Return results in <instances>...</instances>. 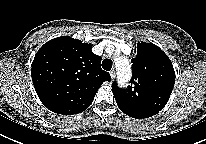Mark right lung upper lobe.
I'll list each match as a JSON object with an SVG mask.
<instances>
[{
  "label": "right lung upper lobe",
  "instance_id": "obj_1",
  "mask_svg": "<svg viewBox=\"0 0 206 144\" xmlns=\"http://www.w3.org/2000/svg\"><path fill=\"white\" fill-rule=\"evenodd\" d=\"M92 45L68 36L45 43L32 62L31 76L41 102L51 111L73 115L86 110L101 84L110 81Z\"/></svg>",
  "mask_w": 206,
  "mask_h": 144
}]
</instances>
